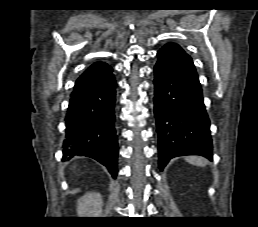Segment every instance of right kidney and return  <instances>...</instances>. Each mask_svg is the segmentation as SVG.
Wrapping results in <instances>:
<instances>
[{
  "mask_svg": "<svg viewBox=\"0 0 258 227\" xmlns=\"http://www.w3.org/2000/svg\"><path fill=\"white\" fill-rule=\"evenodd\" d=\"M102 207V196L96 192H88L78 199L77 213L79 217H99Z\"/></svg>",
  "mask_w": 258,
  "mask_h": 227,
  "instance_id": "obj_1",
  "label": "right kidney"
}]
</instances>
